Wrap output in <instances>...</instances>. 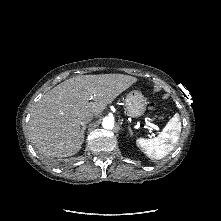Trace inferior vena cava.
Listing matches in <instances>:
<instances>
[{
  "mask_svg": "<svg viewBox=\"0 0 221 221\" xmlns=\"http://www.w3.org/2000/svg\"><path fill=\"white\" fill-rule=\"evenodd\" d=\"M92 120H93V115L87 114L81 118L80 124L86 125V124L90 123Z\"/></svg>",
  "mask_w": 221,
  "mask_h": 221,
  "instance_id": "inferior-vena-cava-1",
  "label": "inferior vena cava"
}]
</instances>
